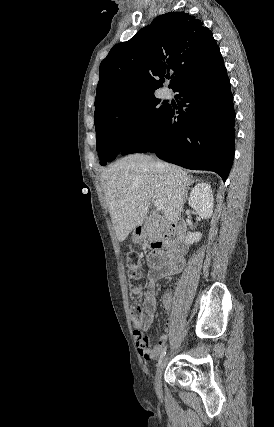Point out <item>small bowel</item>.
Wrapping results in <instances>:
<instances>
[{"mask_svg":"<svg viewBox=\"0 0 274 427\" xmlns=\"http://www.w3.org/2000/svg\"><path fill=\"white\" fill-rule=\"evenodd\" d=\"M149 264V285L144 293L142 310L143 319L135 323L134 339L141 357L145 360H154L162 352L166 342L167 334H162L156 342L149 345L148 338L144 335L154 321L156 315V299L154 283L161 278H167L180 273L185 267L186 260L180 249H176L173 243H169L165 250L158 249L150 252L148 257ZM172 308V296L169 292L163 295V309L169 312ZM172 326L170 320H167L164 329L169 331Z\"/></svg>","mask_w":274,"mask_h":427,"instance_id":"1","label":"small bowel"}]
</instances>
